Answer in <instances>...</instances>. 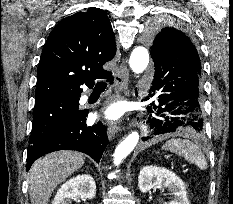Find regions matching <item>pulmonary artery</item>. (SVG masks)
I'll use <instances>...</instances> for the list:
<instances>
[{"label": "pulmonary artery", "instance_id": "1", "mask_svg": "<svg viewBox=\"0 0 233 204\" xmlns=\"http://www.w3.org/2000/svg\"><path fill=\"white\" fill-rule=\"evenodd\" d=\"M87 98H88V97H87L86 95H84V96L81 97V101H82V102H85V101L87 100Z\"/></svg>", "mask_w": 233, "mask_h": 204}]
</instances>
